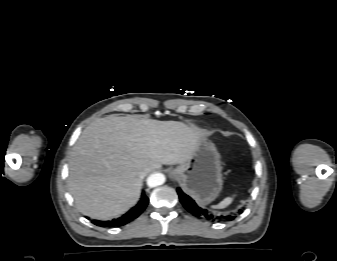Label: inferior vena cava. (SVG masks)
I'll use <instances>...</instances> for the list:
<instances>
[{
	"label": "inferior vena cava",
	"mask_w": 337,
	"mask_h": 261,
	"mask_svg": "<svg viewBox=\"0 0 337 261\" xmlns=\"http://www.w3.org/2000/svg\"><path fill=\"white\" fill-rule=\"evenodd\" d=\"M148 171L149 170H145L144 172H142L141 177H145V175L147 174Z\"/></svg>",
	"instance_id": "obj_1"
}]
</instances>
